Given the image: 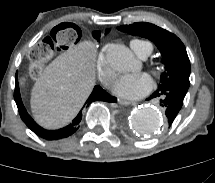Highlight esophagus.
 Masks as SVG:
<instances>
[{
  "label": "esophagus",
  "mask_w": 215,
  "mask_h": 183,
  "mask_svg": "<svg viewBox=\"0 0 215 183\" xmlns=\"http://www.w3.org/2000/svg\"><path fill=\"white\" fill-rule=\"evenodd\" d=\"M118 103L122 106H129L131 104H134L133 102L127 101V100H123V99H118Z\"/></svg>",
  "instance_id": "1"
}]
</instances>
